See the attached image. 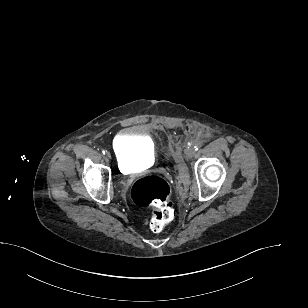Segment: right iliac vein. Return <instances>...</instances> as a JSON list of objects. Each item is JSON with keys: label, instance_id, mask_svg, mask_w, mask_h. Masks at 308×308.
<instances>
[{"label": "right iliac vein", "instance_id": "obj_1", "mask_svg": "<svg viewBox=\"0 0 308 308\" xmlns=\"http://www.w3.org/2000/svg\"><path fill=\"white\" fill-rule=\"evenodd\" d=\"M107 158H111V154H110V152H106V155H105Z\"/></svg>", "mask_w": 308, "mask_h": 308}]
</instances>
